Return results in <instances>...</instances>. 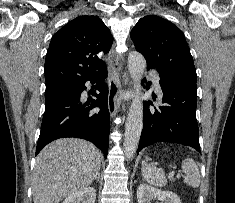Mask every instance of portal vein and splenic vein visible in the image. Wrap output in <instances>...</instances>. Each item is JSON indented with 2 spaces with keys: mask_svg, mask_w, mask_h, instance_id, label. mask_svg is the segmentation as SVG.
Instances as JSON below:
<instances>
[{
  "mask_svg": "<svg viewBox=\"0 0 235 203\" xmlns=\"http://www.w3.org/2000/svg\"><path fill=\"white\" fill-rule=\"evenodd\" d=\"M174 174H175L174 171H170V172H169V176H170V177L174 176ZM177 176L180 177V174H177Z\"/></svg>",
  "mask_w": 235,
  "mask_h": 203,
  "instance_id": "portal-vein-and-splenic-vein-1",
  "label": "portal vein and splenic vein"
}]
</instances>
